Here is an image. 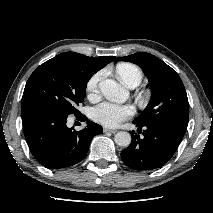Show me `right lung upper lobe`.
<instances>
[{
  "label": "right lung upper lobe",
  "instance_id": "right-lung-upper-lobe-1",
  "mask_svg": "<svg viewBox=\"0 0 213 213\" xmlns=\"http://www.w3.org/2000/svg\"><path fill=\"white\" fill-rule=\"evenodd\" d=\"M60 55L85 64L95 73L116 58L115 56L88 57L75 52H65Z\"/></svg>",
  "mask_w": 213,
  "mask_h": 213
}]
</instances>
